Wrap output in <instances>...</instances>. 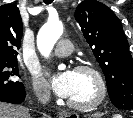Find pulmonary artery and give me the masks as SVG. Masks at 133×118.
I'll return each mask as SVG.
<instances>
[{"label": "pulmonary artery", "mask_w": 133, "mask_h": 118, "mask_svg": "<svg viewBox=\"0 0 133 118\" xmlns=\"http://www.w3.org/2000/svg\"><path fill=\"white\" fill-rule=\"evenodd\" d=\"M72 50H73L72 42L63 39L57 43L56 49L54 50L53 54L55 57L63 58L71 54Z\"/></svg>", "instance_id": "obj_1"}]
</instances>
